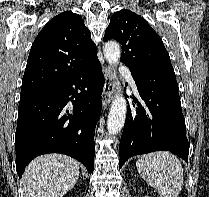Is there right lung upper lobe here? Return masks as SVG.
<instances>
[{"mask_svg": "<svg viewBox=\"0 0 209 197\" xmlns=\"http://www.w3.org/2000/svg\"><path fill=\"white\" fill-rule=\"evenodd\" d=\"M96 59V45L82 17L71 11L63 12L51 19L36 37L21 92L56 85Z\"/></svg>", "mask_w": 209, "mask_h": 197, "instance_id": "cb5924a9", "label": "right lung upper lobe"}]
</instances>
